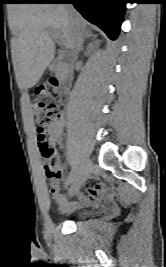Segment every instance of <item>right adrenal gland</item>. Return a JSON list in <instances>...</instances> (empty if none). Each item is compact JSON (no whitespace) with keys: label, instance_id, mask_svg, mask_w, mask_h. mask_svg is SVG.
<instances>
[{"label":"right adrenal gland","instance_id":"obj_1","mask_svg":"<svg viewBox=\"0 0 166 267\" xmlns=\"http://www.w3.org/2000/svg\"><path fill=\"white\" fill-rule=\"evenodd\" d=\"M96 37V35H94L89 29H86L84 31V34H83V41H82V45H83V42L86 40V39H94ZM83 50V47L81 48Z\"/></svg>","mask_w":166,"mask_h":267}]
</instances>
